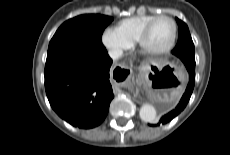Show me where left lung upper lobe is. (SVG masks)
I'll use <instances>...</instances> for the list:
<instances>
[{
  "instance_id": "1",
  "label": "left lung upper lobe",
  "mask_w": 230,
  "mask_h": 155,
  "mask_svg": "<svg viewBox=\"0 0 230 155\" xmlns=\"http://www.w3.org/2000/svg\"><path fill=\"white\" fill-rule=\"evenodd\" d=\"M177 23H178V31H179V36H178V43L175 47V49L172 51L174 55L179 57L182 60V55L185 56L187 55L190 57V59L194 60V44L188 29V26L178 18H176ZM193 55V57H192Z\"/></svg>"
}]
</instances>
